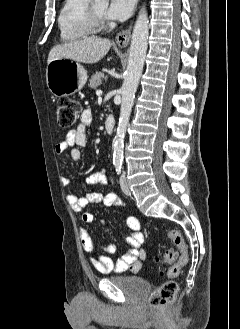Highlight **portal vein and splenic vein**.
I'll return each mask as SVG.
<instances>
[{
	"instance_id": "1",
	"label": "portal vein and splenic vein",
	"mask_w": 240,
	"mask_h": 329,
	"mask_svg": "<svg viewBox=\"0 0 240 329\" xmlns=\"http://www.w3.org/2000/svg\"><path fill=\"white\" fill-rule=\"evenodd\" d=\"M96 94H97V95H100V94H102V91H101V90H97V91H96Z\"/></svg>"
}]
</instances>
